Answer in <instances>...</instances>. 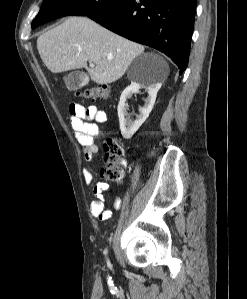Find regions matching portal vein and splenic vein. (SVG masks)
Returning <instances> with one entry per match:
<instances>
[{
    "mask_svg": "<svg viewBox=\"0 0 247 299\" xmlns=\"http://www.w3.org/2000/svg\"><path fill=\"white\" fill-rule=\"evenodd\" d=\"M89 65H90V67H94L95 66L92 61H89Z\"/></svg>",
    "mask_w": 247,
    "mask_h": 299,
    "instance_id": "1",
    "label": "portal vein and splenic vein"
}]
</instances>
